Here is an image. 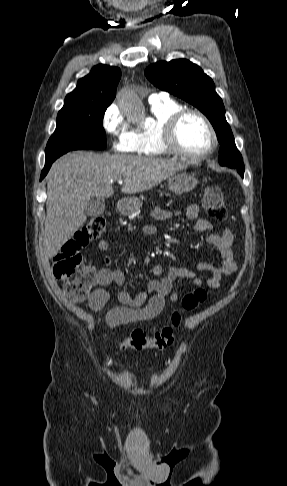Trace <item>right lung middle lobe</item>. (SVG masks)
<instances>
[{
  "label": "right lung middle lobe",
  "mask_w": 287,
  "mask_h": 486,
  "mask_svg": "<svg viewBox=\"0 0 287 486\" xmlns=\"http://www.w3.org/2000/svg\"><path fill=\"white\" fill-rule=\"evenodd\" d=\"M108 104H85L63 107L57 116V127L50 137L45 162L55 161L71 150L104 149L105 131L102 120Z\"/></svg>",
  "instance_id": "right-lung-middle-lobe-1"
}]
</instances>
